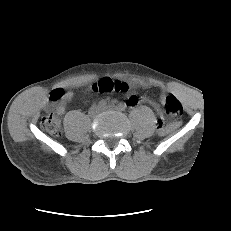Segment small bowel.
I'll list each match as a JSON object with an SVG mask.
<instances>
[{
	"mask_svg": "<svg viewBox=\"0 0 231 231\" xmlns=\"http://www.w3.org/2000/svg\"><path fill=\"white\" fill-rule=\"evenodd\" d=\"M126 86L127 88L129 87V84L125 81H122ZM58 92L61 93V97L56 100V101H51L52 104H56V111L59 113V114H62L64 111H65V104H66V101H69L72 99L73 97V92L72 91H65L63 89H58L56 90ZM163 96H166V92L163 91ZM139 102V98L138 96L136 95H129L127 97V104L129 106H135L137 105Z\"/></svg>",
	"mask_w": 231,
	"mask_h": 231,
	"instance_id": "small-bowel-1",
	"label": "small bowel"
}]
</instances>
